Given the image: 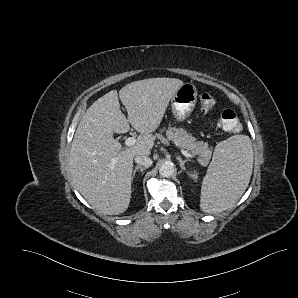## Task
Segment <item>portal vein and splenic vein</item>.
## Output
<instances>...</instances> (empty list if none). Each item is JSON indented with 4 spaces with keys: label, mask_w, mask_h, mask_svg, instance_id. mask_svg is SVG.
<instances>
[{
    "label": "portal vein and splenic vein",
    "mask_w": 298,
    "mask_h": 298,
    "mask_svg": "<svg viewBox=\"0 0 298 298\" xmlns=\"http://www.w3.org/2000/svg\"><path fill=\"white\" fill-rule=\"evenodd\" d=\"M136 143V138L135 137H129L125 140V145L130 147L133 146ZM180 152L183 156L187 157V158H192L193 155L186 149L181 148Z\"/></svg>",
    "instance_id": "18ae733b"
}]
</instances>
